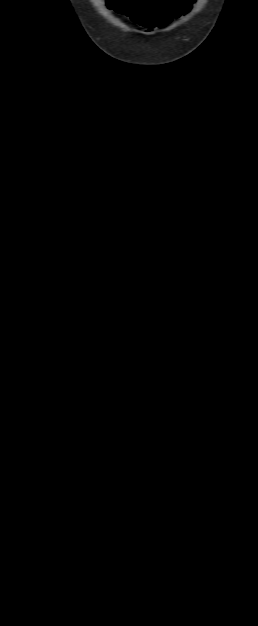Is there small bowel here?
<instances>
[{"instance_id": "c3829d8e", "label": "small bowel", "mask_w": 258, "mask_h": 626, "mask_svg": "<svg viewBox=\"0 0 258 626\" xmlns=\"http://www.w3.org/2000/svg\"><path fill=\"white\" fill-rule=\"evenodd\" d=\"M192 3H193V0H184V1L180 2L172 11H170V13L168 15L165 16V18L162 20L161 24H158V25L154 24V25H157V26L164 25V24L168 23L173 17H177L180 14L186 13L189 10V8H190ZM110 6H111L112 9H114L116 11H118L120 9L113 2H110ZM143 26L149 27V28L154 27V26H149V24H144Z\"/></svg>"}]
</instances>
